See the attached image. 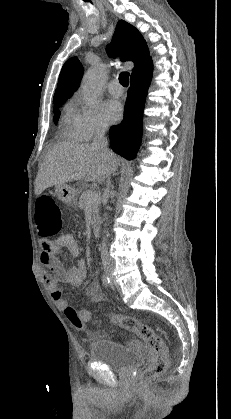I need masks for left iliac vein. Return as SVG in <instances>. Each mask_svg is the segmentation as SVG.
Returning <instances> with one entry per match:
<instances>
[{
	"label": "left iliac vein",
	"mask_w": 231,
	"mask_h": 419,
	"mask_svg": "<svg viewBox=\"0 0 231 419\" xmlns=\"http://www.w3.org/2000/svg\"><path fill=\"white\" fill-rule=\"evenodd\" d=\"M111 286L113 287V279L111 278Z\"/></svg>",
	"instance_id": "4c4485c4"
}]
</instances>
